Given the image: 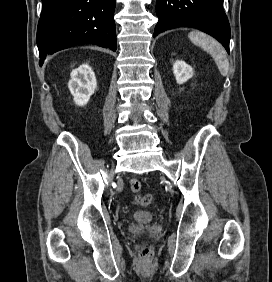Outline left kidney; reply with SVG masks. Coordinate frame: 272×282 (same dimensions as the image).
I'll return each mask as SVG.
<instances>
[{
	"label": "left kidney",
	"instance_id": "1",
	"mask_svg": "<svg viewBox=\"0 0 272 282\" xmlns=\"http://www.w3.org/2000/svg\"><path fill=\"white\" fill-rule=\"evenodd\" d=\"M173 73L178 84H183L193 76V69L182 60H176L173 64Z\"/></svg>",
	"mask_w": 272,
	"mask_h": 282
}]
</instances>
